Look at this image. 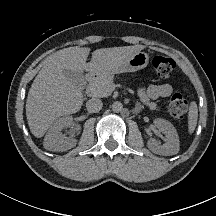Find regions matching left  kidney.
<instances>
[{
  "label": "left kidney",
  "instance_id": "1",
  "mask_svg": "<svg viewBox=\"0 0 216 216\" xmlns=\"http://www.w3.org/2000/svg\"><path fill=\"white\" fill-rule=\"evenodd\" d=\"M155 127L165 134L166 143L159 145L155 139H150L147 142L148 148L156 154L169 156L177 154L179 151V137L175 127L164 119H155Z\"/></svg>",
  "mask_w": 216,
  "mask_h": 216
}]
</instances>
